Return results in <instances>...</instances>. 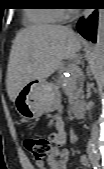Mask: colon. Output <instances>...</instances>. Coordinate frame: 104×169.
Instances as JSON below:
<instances>
[{"mask_svg": "<svg viewBox=\"0 0 104 169\" xmlns=\"http://www.w3.org/2000/svg\"><path fill=\"white\" fill-rule=\"evenodd\" d=\"M24 147L38 162L45 160L52 149V140L38 135H27L24 138Z\"/></svg>", "mask_w": 104, "mask_h": 169, "instance_id": "obj_1", "label": "colon"}]
</instances>
